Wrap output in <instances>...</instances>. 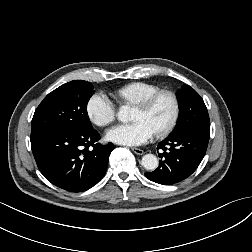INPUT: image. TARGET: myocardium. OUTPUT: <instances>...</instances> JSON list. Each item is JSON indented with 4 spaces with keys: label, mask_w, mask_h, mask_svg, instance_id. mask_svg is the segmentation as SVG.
<instances>
[{
    "label": "myocardium",
    "mask_w": 252,
    "mask_h": 252,
    "mask_svg": "<svg viewBox=\"0 0 252 252\" xmlns=\"http://www.w3.org/2000/svg\"><path fill=\"white\" fill-rule=\"evenodd\" d=\"M163 97H166L170 100L172 111L167 123L155 131V134L160 137L167 135L176 125L180 112V105L177 96L171 91L160 90L136 105V107L143 111H149L153 108L156 102Z\"/></svg>",
    "instance_id": "obj_1"
}]
</instances>
